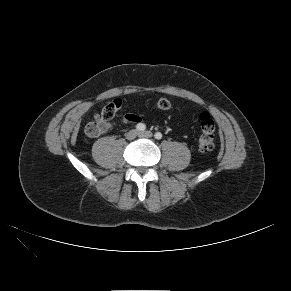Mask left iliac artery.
I'll list each match as a JSON object with an SVG mask.
<instances>
[{"label": "left iliac artery", "mask_w": 291, "mask_h": 291, "mask_svg": "<svg viewBox=\"0 0 291 291\" xmlns=\"http://www.w3.org/2000/svg\"><path fill=\"white\" fill-rule=\"evenodd\" d=\"M154 137L157 139V140H160L162 138V134L160 132H156Z\"/></svg>", "instance_id": "44dca946"}]
</instances>
